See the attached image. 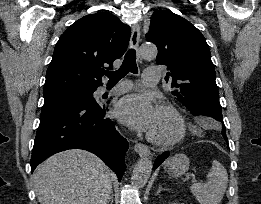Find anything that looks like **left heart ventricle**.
<instances>
[{"mask_svg":"<svg viewBox=\"0 0 261 204\" xmlns=\"http://www.w3.org/2000/svg\"><path fill=\"white\" fill-rule=\"evenodd\" d=\"M175 131L176 122L174 118L169 113L157 109L155 121L149 132L156 137L167 138L172 136Z\"/></svg>","mask_w":261,"mask_h":204,"instance_id":"b2bd125f","label":"left heart ventricle"}]
</instances>
